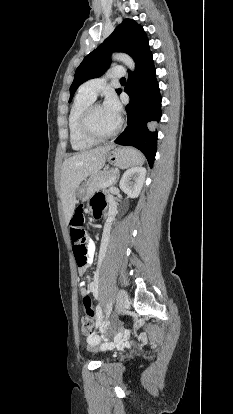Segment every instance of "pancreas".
I'll list each match as a JSON object with an SVG mask.
<instances>
[{"label": "pancreas", "mask_w": 233, "mask_h": 414, "mask_svg": "<svg viewBox=\"0 0 233 414\" xmlns=\"http://www.w3.org/2000/svg\"><path fill=\"white\" fill-rule=\"evenodd\" d=\"M117 169H105L103 171H98L93 173L87 183V189L91 193L96 190L108 187L105 184L112 178L118 175Z\"/></svg>", "instance_id": "pancreas-1"}]
</instances>
